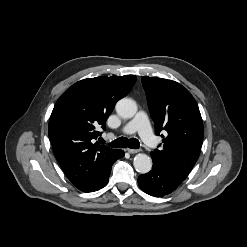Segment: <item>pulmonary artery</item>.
<instances>
[{"label": "pulmonary artery", "mask_w": 247, "mask_h": 247, "mask_svg": "<svg viewBox=\"0 0 247 247\" xmlns=\"http://www.w3.org/2000/svg\"><path fill=\"white\" fill-rule=\"evenodd\" d=\"M122 132L126 134L138 132L144 143L150 148H156L158 145V140L152 132L148 117L143 111L138 112L136 116L122 128Z\"/></svg>", "instance_id": "obj_1"}]
</instances>
